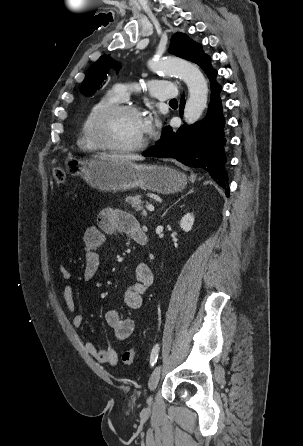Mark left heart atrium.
<instances>
[{"label": "left heart atrium", "instance_id": "left-heart-atrium-1", "mask_svg": "<svg viewBox=\"0 0 303 446\" xmlns=\"http://www.w3.org/2000/svg\"><path fill=\"white\" fill-rule=\"evenodd\" d=\"M141 124L144 134L148 136L155 132L158 121L153 114H148L141 118Z\"/></svg>", "mask_w": 303, "mask_h": 446}]
</instances>
